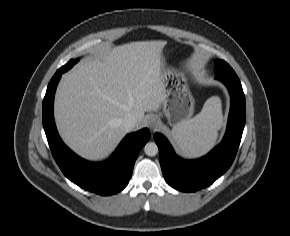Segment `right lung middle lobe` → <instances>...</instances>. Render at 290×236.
Listing matches in <instances>:
<instances>
[{
	"mask_svg": "<svg viewBox=\"0 0 290 236\" xmlns=\"http://www.w3.org/2000/svg\"><path fill=\"white\" fill-rule=\"evenodd\" d=\"M78 61V59L76 60H70L66 65H64L63 67H61L58 71L59 72H66L67 70H69L70 68L73 67V65Z\"/></svg>",
	"mask_w": 290,
	"mask_h": 236,
	"instance_id": "1",
	"label": "right lung middle lobe"
}]
</instances>
